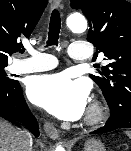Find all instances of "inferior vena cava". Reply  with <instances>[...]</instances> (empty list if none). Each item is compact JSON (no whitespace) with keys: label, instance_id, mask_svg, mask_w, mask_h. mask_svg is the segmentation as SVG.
<instances>
[{"label":"inferior vena cava","instance_id":"602c4592","mask_svg":"<svg viewBox=\"0 0 131 151\" xmlns=\"http://www.w3.org/2000/svg\"><path fill=\"white\" fill-rule=\"evenodd\" d=\"M19 151H32V136L29 132L19 131Z\"/></svg>","mask_w":131,"mask_h":151}]
</instances>
